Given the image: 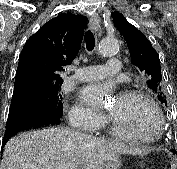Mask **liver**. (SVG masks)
Instances as JSON below:
<instances>
[{
    "mask_svg": "<svg viewBox=\"0 0 177 169\" xmlns=\"http://www.w3.org/2000/svg\"><path fill=\"white\" fill-rule=\"evenodd\" d=\"M137 149L72 129L49 128L11 138L0 169H103L112 157Z\"/></svg>",
    "mask_w": 177,
    "mask_h": 169,
    "instance_id": "6515ba94",
    "label": "liver"
}]
</instances>
